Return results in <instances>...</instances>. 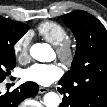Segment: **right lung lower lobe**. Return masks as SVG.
<instances>
[{"mask_svg":"<svg viewBox=\"0 0 107 107\" xmlns=\"http://www.w3.org/2000/svg\"><path fill=\"white\" fill-rule=\"evenodd\" d=\"M38 89L39 87L36 83L26 82L12 92H6L3 95L0 92V107H18L25 98L35 96Z\"/></svg>","mask_w":107,"mask_h":107,"instance_id":"98d812e1","label":"right lung lower lobe"}]
</instances>
